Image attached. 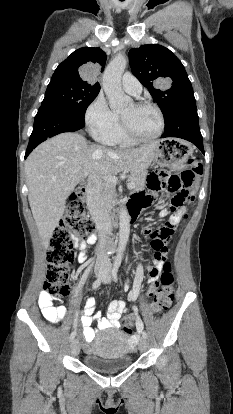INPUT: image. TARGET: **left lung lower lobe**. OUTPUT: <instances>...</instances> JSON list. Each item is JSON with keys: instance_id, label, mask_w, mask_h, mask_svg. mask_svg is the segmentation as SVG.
<instances>
[{"instance_id": "1", "label": "left lung lower lobe", "mask_w": 233, "mask_h": 414, "mask_svg": "<svg viewBox=\"0 0 233 414\" xmlns=\"http://www.w3.org/2000/svg\"><path fill=\"white\" fill-rule=\"evenodd\" d=\"M162 138L177 137L192 142L204 154L203 138L199 129V117L196 101L181 103L170 117L165 120V131Z\"/></svg>"}]
</instances>
